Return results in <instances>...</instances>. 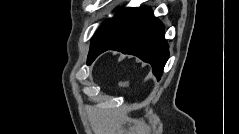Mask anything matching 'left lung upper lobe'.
Returning <instances> with one entry per match:
<instances>
[{"mask_svg":"<svg viewBox=\"0 0 239 134\" xmlns=\"http://www.w3.org/2000/svg\"><path fill=\"white\" fill-rule=\"evenodd\" d=\"M109 20H110V19H107V20L99 27V29L96 31L95 34H97L98 32H100V31L105 27V25L108 23Z\"/></svg>","mask_w":239,"mask_h":134,"instance_id":"obj_1","label":"left lung upper lobe"}]
</instances>
